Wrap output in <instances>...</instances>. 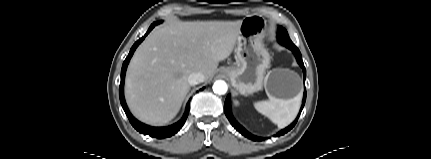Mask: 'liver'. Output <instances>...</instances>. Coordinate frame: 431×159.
<instances>
[{
  "instance_id": "obj_1",
  "label": "liver",
  "mask_w": 431,
  "mask_h": 159,
  "mask_svg": "<svg viewBox=\"0 0 431 159\" xmlns=\"http://www.w3.org/2000/svg\"><path fill=\"white\" fill-rule=\"evenodd\" d=\"M241 22L172 21L155 28L127 69L125 98L132 114L151 125L171 121L190 90L188 76L214 75L233 52Z\"/></svg>"
}]
</instances>
